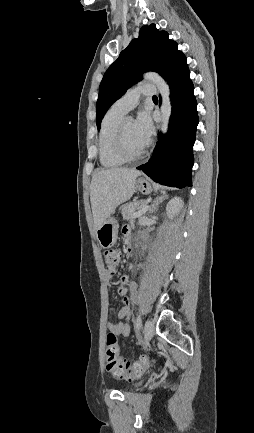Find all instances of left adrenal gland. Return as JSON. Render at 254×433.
<instances>
[{
    "label": "left adrenal gland",
    "instance_id": "left-adrenal-gland-1",
    "mask_svg": "<svg viewBox=\"0 0 254 433\" xmlns=\"http://www.w3.org/2000/svg\"><path fill=\"white\" fill-rule=\"evenodd\" d=\"M167 198H168V195H165V194H163L162 196H158V197H156V198L153 200L152 205H151V207L149 208L148 212H149V213H154V212H156L157 209H158V205H159L161 202H163L165 199H167Z\"/></svg>",
    "mask_w": 254,
    "mask_h": 433
}]
</instances>
